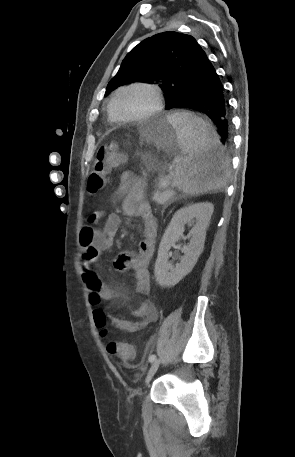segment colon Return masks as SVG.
<instances>
[{
	"instance_id": "5ec220e1",
	"label": "colon",
	"mask_w": 295,
	"mask_h": 457,
	"mask_svg": "<svg viewBox=\"0 0 295 457\" xmlns=\"http://www.w3.org/2000/svg\"><path fill=\"white\" fill-rule=\"evenodd\" d=\"M124 162L125 155L119 150L115 142L101 146L97 151L93 170L89 176V193L96 194L102 190L106 184L107 176ZM94 320L96 326L101 329V333L105 334L107 325L105 311L102 309L95 310ZM104 347L105 350H108L109 355H117L126 361H131L135 355L134 347L122 341H105Z\"/></svg>"
}]
</instances>
